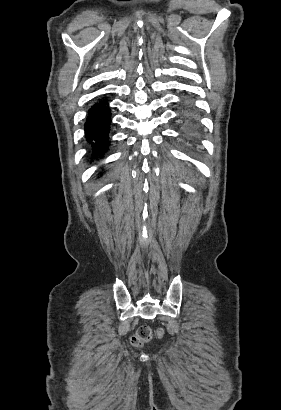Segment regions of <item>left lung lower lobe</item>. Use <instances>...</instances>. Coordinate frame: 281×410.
<instances>
[{"label": "left lung lower lobe", "mask_w": 281, "mask_h": 410, "mask_svg": "<svg viewBox=\"0 0 281 410\" xmlns=\"http://www.w3.org/2000/svg\"><path fill=\"white\" fill-rule=\"evenodd\" d=\"M185 121H186V135L188 138H190L192 141H195L199 137V128H198V122L196 120L195 115L188 111L185 114Z\"/></svg>", "instance_id": "obj_1"}]
</instances>
